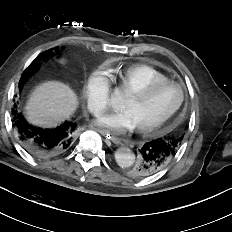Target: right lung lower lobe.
I'll use <instances>...</instances> for the list:
<instances>
[{
	"label": "right lung lower lobe",
	"instance_id": "obj_1",
	"mask_svg": "<svg viewBox=\"0 0 232 232\" xmlns=\"http://www.w3.org/2000/svg\"><path fill=\"white\" fill-rule=\"evenodd\" d=\"M22 87H19L20 90ZM12 114L18 139L31 155L47 159L61 155L71 148L76 128L74 123L65 121L57 128L42 129L29 124L17 110H12Z\"/></svg>",
	"mask_w": 232,
	"mask_h": 232
}]
</instances>
